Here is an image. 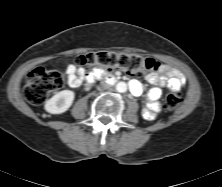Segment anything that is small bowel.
<instances>
[{"label":"small bowel","mask_w":222,"mask_h":187,"mask_svg":"<svg viewBox=\"0 0 222 187\" xmlns=\"http://www.w3.org/2000/svg\"><path fill=\"white\" fill-rule=\"evenodd\" d=\"M66 73L68 85L73 88L79 87L86 78L84 71L72 64L67 66ZM145 80L154 87L147 92V102L142 109V116L146 120L152 121L160 111L159 99L162 95L160 87L178 91L185 85L186 80L180 71L166 64H161L157 71L146 74ZM130 89L134 96L142 95L144 90L142 84L137 80L131 81Z\"/></svg>","instance_id":"small-bowel-1"}]
</instances>
